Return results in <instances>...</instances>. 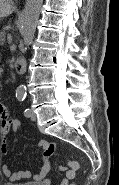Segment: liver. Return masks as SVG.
I'll use <instances>...</instances> for the list:
<instances>
[{
	"label": "liver",
	"instance_id": "liver-1",
	"mask_svg": "<svg viewBox=\"0 0 119 185\" xmlns=\"http://www.w3.org/2000/svg\"><path fill=\"white\" fill-rule=\"evenodd\" d=\"M12 13V6L9 0H0V17L9 16Z\"/></svg>",
	"mask_w": 119,
	"mask_h": 185
}]
</instances>
